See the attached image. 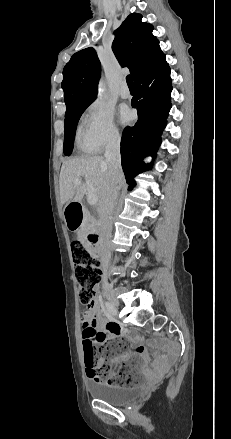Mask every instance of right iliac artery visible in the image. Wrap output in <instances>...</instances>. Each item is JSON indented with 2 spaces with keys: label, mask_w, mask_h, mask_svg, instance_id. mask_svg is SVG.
<instances>
[{
  "label": "right iliac artery",
  "mask_w": 231,
  "mask_h": 439,
  "mask_svg": "<svg viewBox=\"0 0 231 439\" xmlns=\"http://www.w3.org/2000/svg\"><path fill=\"white\" fill-rule=\"evenodd\" d=\"M105 306H106L107 311L112 314L114 310H113V307L111 306V304L109 302H105Z\"/></svg>",
  "instance_id": "1"
}]
</instances>
